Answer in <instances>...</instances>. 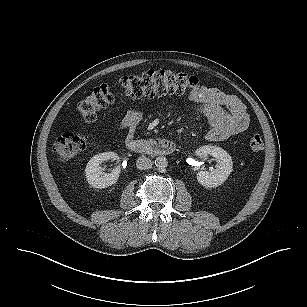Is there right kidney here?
<instances>
[{
  "mask_svg": "<svg viewBox=\"0 0 307 307\" xmlns=\"http://www.w3.org/2000/svg\"><path fill=\"white\" fill-rule=\"evenodd\" d=\"M109 159H118L114 152L99 153L92 157L85 168L88 183L94 188H107L118 181L120 168L117 167L111 173H104L100 164Z\"/></svg>",
  "mask_w": 307,
  "mask_h": 307,
  "instance_id": "obj_1",
  "label": "right kidney"
}]
</instances>
